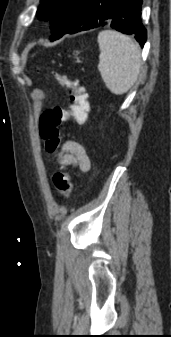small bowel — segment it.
Instances as JSON below:
<instances>
[{
    "instance_id": "c3829d8e",
    "label": "small bowel",
    "mask_w": 171,
    "mask_h": 337,
    "mask_svg": "<svg viewBox=\"0 0 171 337\" xmlns=\"http://www.w3.org/2000/svg\"><path fill=\"white\" fill-rule=\"evenodd\" d=\"M56 162L59 165L69 166L82 173L88 172L91 168V161L86 149L73 140H67L56 155Z\"/></svg>"
}]
</instances>
